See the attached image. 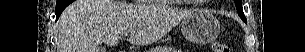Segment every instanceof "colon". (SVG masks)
<instances>
[{
    "label": "colon",
    "instance_id": "obj_1",
    "mask_svg": "<svg viewBox=\"0 0 305 52\" xmlns=\"http://www.w3.org/2000/svg\"><path fill=\"white\" fill-rule=\"evenodd\" d=\"M213 51L214 52H230L231 50L226 44H224L222 42H215L213 44Z\"/></svg>",
    "mask_w": 305,
    "mask_h": 52
}]
</instances>
